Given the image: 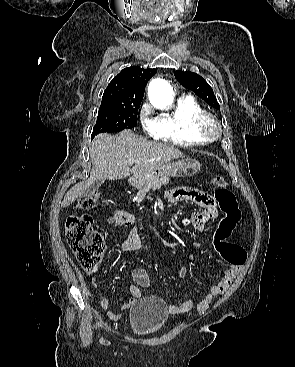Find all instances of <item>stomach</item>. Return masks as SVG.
Listing matches in <instances>:
<instances>
[{
  "instance_id": "1",
  "label": "stomach",
  "mask_w": 295,
  "mask_h": 367,
  "mask_svg": "<svg viewBox=\"0 0 295 367\" xmlns=\"http://www.w3.org/2000/svg\"><path fill=\"white\" fill-rule=\"evenodd\" d=\"M200 167V163L196 160L169 162L149 172L132 177L130 183L136 188H141L162 177H190L196 174Z\"/></svg>"
}]
</instances>
